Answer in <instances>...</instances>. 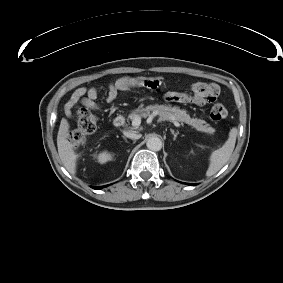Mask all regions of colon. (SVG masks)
<instances>
[{"label": "colon", "mask_w": 283, "mask_h": 283, "mask_svg": "<svg viewBox=\"0 0 283 283\" xmlns=\"http://www.w3.org/2000/svg\"><path fill=\"white\" fill-rule=\"evenodd\" d=\"M227 116V110L222 104H214L210 109V118L220 121ZM97 117L88 107L78 111L77 125L69 133V140L73 143L81 142L85 137L96 130Z\"/></svg>", "instance_id": "5ec220e1"}]
</instances>
